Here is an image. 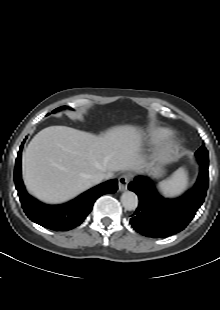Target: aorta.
Masks as SVG:
<instances>
[{"label": "aorta", "instance_id": "obj_1", "mask_svg": "<svg viewBox=\"0 0 220 310\" xmlns=\"http://www.w3.org/2000/svg\"><path fill=\"white\" fill-rule=\"evenodd\" d=\"M121 203L128 211L135 210L138 206V197L134 192L126 191L121 196Z\"/></svg>", "mask_w": 220, "mask_h": 310}]
</instances>
